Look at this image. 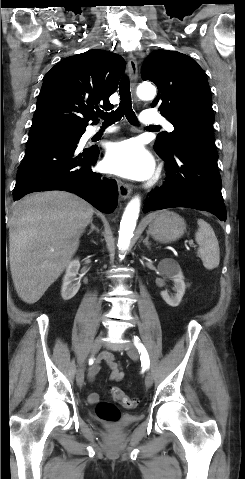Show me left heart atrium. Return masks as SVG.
<instances>
[{
    "label": "left heart atrium",
    "instance_id": "39dd6f15",
    "mask_svg": "<svg viewBox=\"0 0 245 479\" xmlns=\"http://www.w3.org/2000/svg\"><path fill=\"white\" fill-rule=\"evenodd\" d=\"M105 171L135 180L148 178L154 162L146 149L134 139L111 144L103 160Z\"/></svg>",
    "mask_w": 245,
    "mask_h": 479
}]
</instances>
